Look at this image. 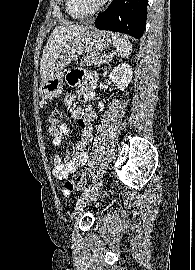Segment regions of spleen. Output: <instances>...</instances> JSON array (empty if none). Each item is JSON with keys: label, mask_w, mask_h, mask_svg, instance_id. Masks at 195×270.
<instances>
[{"label": "spleen", "mask_w": 195, "mask_h": 270, "mask_svg": "<svg viewBox=\"0 0 195 270\" xmlns=\"http://www.w3.org/2000/svg\"><path fill=\"white\" fill-rule=\"evenodd\" d=\"M111 38L118 55L123 58L128 57L132 50L131 43L119 33H111Z\"/></svg>", "instance_id": "3e777b00"}]
</instances>
